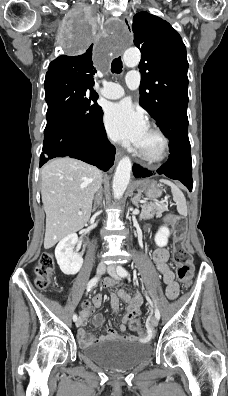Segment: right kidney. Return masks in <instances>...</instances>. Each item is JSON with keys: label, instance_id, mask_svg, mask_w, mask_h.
<instances>
[{"label": "right kidney", "instance_id": "obj_1", "mask_svg": "<svg viewBox=\"0 0 228 396\" xmlns=\"http://www.w3.org/2000/svg\"><path fill=\"white\" fill-rule=\"evenodd\" d=\"M78 242L77 234L73 233L63 238L56 246L55 257L61 271L66 275H74L82 267L83 258L73 253V246Z\"/></svg>", "mask_w": 228, "mask_h": 396}]
</instances>
